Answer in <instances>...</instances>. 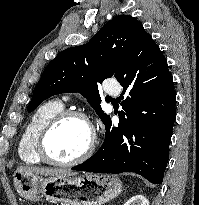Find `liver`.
Segmentation results:
<instances>
[{"label": "liver", "mask_w": 199, "mask_h": 205, "mask_svg": "<svg viewBox=\"0 0 199 205\" xmlns=\"http://www.w3.org/2000/svg\"><path fill=\"white\" fill-rule=\"evenodd\" d=\"M16 172H24L30 175L37 176H76L77 172H72L66 169H56V168H42V167H30V166H20L17 168Z\"/></svg>", "instance_id": "6515ba94"}]
</instances>
